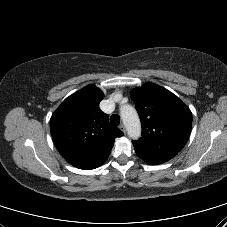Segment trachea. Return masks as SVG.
Segmentation results:
<instances>
[{"mask_svg":"<svg viewBox=\"0 0 227 227\" xmlns=\"http://www.w3.org/2000/svg\"><path fill=\"white\" fill-rule=\"evenodd\" d=\"M110 121H111L112 125L118 126L119 123H120V116L117 115V114H113V115L110 117Z\"/></svg>","mask_w":227,"mask_h":227,"instance_id":"1","label":"trachea"}]
</instances>
